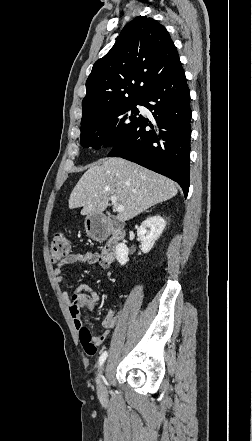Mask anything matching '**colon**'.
<instances>
[{
	"label": "colon",
	"mask_w": 252,
	"mask_h": 441,
	"mask_svg": "<svg viewBox=\"0 0 252 441\" xmlns=\"http://www.w3.org/2000/svg\"><path fill=\"white\" fill-rule=\"evenodd\" d=\"M70 254V244L65 236L62 234H56L50 244V256L51 259L59 261ZM79 338L85 352L93 356L97 351L96 343L93 341V336L89 329L86 327H81L79 330Z\"/></svg>",
	"instance_id": "obj_1"
}]
</instances>
